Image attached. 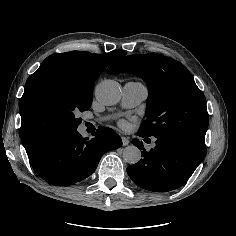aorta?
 Returning <instances> with one entry per match:
<instances>
[{"mask_svg":"<svg viewBox=\"0 0 236 236\" xmlns=\"http://www.w3.org/2000/svg\"><path fill=\"white\" fill-rule=\"evenodd\" d=\"M96 99L104 105H114L121 98L120 84L114 80H104L95 89ZM123 159L129 164H136L141 159V151L134 145H129L123 150Z\"/></svg>","mask_w":236,"mask_h":236,"instance_id":"aorta-1","label":"aorta"}]
</instances>
